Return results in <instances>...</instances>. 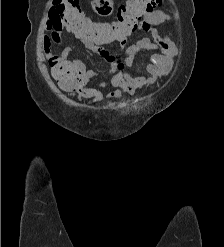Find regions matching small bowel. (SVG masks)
<instances>
[{
  "label": "small bowel",
  "mask_w": 224,
  "mask_h": 247,
  "mask_svg": "<svg viewBox=\"0 0 224 247\" xmlns=\"http://www.w3.org/2000/svg\"><path fill=\"white\" fill-rule=\"evenodd\" d=\"M113 0H92L93 10L102 16L111 13ZM171 16L164 10L156 9L144 16L139 23V29L148 35H144L137 39L134 43L127 45V37L116 40L121 47L123 54L120 60L122 66L119 67V61L113 55H110L103 45L108 42H100L91 39H80L85 48L93 53H97L111 63V69L106 74L107 79L98 80L100 75L95 71L89 70L85 73L83 83L93 82L97 88H87L83 94L87 98H92L95 103L103 99L119 98L123 94H135L138 90L154 86L159 80L166 78L172 68V59L177 54V48L172 41V37L168 34L161 37L156 26L168 22ZM44 27L50 31V36L44 37V51L47 55L51 53V46L62 43L63 33L65 31L72 33L62 22L53 5L50 6L46 14ZM155 51L150 56V62L144 66V70L150 75L149 77L138 76L129 73L126 69L131 68L134 64L136 55L140 52ZM68 49H63L61 54L51 56L50 61L56 58H63L68 54ZM116 88V91L106 95L100 91L101 88Z\"/></svg>",
  "instance_id": "1"
}]
</instances>
